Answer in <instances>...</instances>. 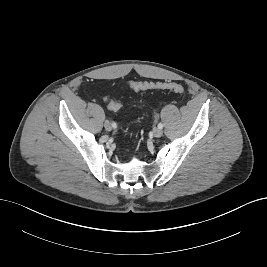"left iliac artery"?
<instances>
[{
	"instance_id": "44dca946",
	"label": "left iliac artery",
	"mask_w": 267,
	"mask_h": 267,
	"mask_svg": "<svg viewBox=\"0 0 267 267\" xmlns=\"http://www.w3.org/2000/svg\"><path fill=\"white\" fill-rule=\"evenodd\" d=\"M158 127H159L160 129H162V128H163V124H162V123H159V124H158Z\"/></svg>"
}]
</instances>
